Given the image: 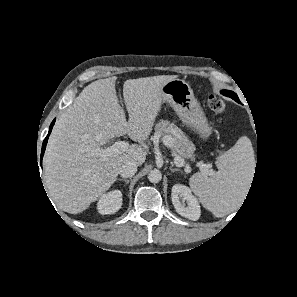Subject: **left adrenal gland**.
I'll list each match as a JSON object with an SVG mask.
<instances>
[{
    "instance_id": "obj_1",
    "label": "left adrenal gland",
    "mask_w": 297,
    "mask_h": 297,
    "mask_svg": "<svg viewBox=\"0 0 297 297\" xmlns=\"http://www.w3.org/2000/svg\"><path fill=\"white\" fill-rule=\"evenodd\" d=\"M173 163H171V166H170V170H171V172H175V171H181L180 169H178V168H173Z\"/></svg>"
}]
</instances>
